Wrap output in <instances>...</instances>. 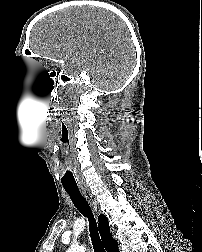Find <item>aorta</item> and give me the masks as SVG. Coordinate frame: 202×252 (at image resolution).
<instances>
[{
	"label": "aorta",
	"instance_id": "aorta-1",
	"mask_svg": "<svg viewBox=\"0 0 202 252\" xmlns=\"http://www.w3.org/2000/svg\"><path fill=\"white\" fill-rule=\"evenodd\" d=\"M67 252H84V249L79 245H71L68 248Z\"/></svg>",
	"mask_w": 202,
	"mask_h": 252
}]
</instances>
